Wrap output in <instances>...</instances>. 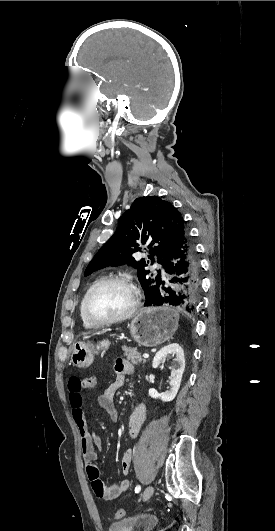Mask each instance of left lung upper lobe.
Wrapping results in <instances>:
<instances>
[{
	"label": "left lung upper lobe",
	"instance_id": "1",
	"mask_svg": "<svg viewBox=\"0 0 275 531\" xmlns=\"http://www.w3.org/2000/svg\"><path fill=\"white\" fill-rule=\"evenodd\" d=\"M184 229L181 214L169 202L157 196L137 198L121 217L116 232L93 257L84 275L107 266L133 265L145 293V305H149L164 285L161 272L158 270L157 276L150 274L145 270V259L137 262L133 254L144 248L148 258L153 260L156 256L165 269L169 253Z\"/></svg>",
	"mask_w": 275,
	"mask_h": 531
}]
</instances>
